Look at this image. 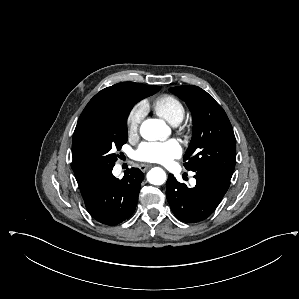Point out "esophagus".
Segmentation results:
<instances>
[{"label": "esophagus", "mask_w": 299, "mask_h": 299, "mask_svg": "<svg viewBox=\"0 0 299 299\" xmlns=\"http://www.w3.org/2000/svg\"><path fill=\"white\" fill-rule=\"evenodd\" d=\"M150 167H151V165H148V164H141V165L139 166V168H140V170H141L142 172H145V171L148 170Z\"/></svg>", "instance_id": "34e87169"}]
</instances>
